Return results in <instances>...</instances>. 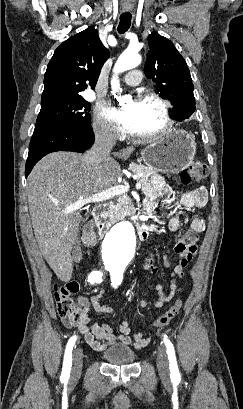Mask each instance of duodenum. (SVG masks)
I'll return each instance as SVG.
<instances>
[{"label": "duodenum", "mask_w": 243, "mask_h": 409, "mask_svg": "<svg viewBox=\"0 0 243 409\" xmlns=\"http://www.w3.org/2000/svg\"><path fill=\"white\" fill-rule=\"evenodd\" d=\"M108 205L106 203L97 204L92 210L93 223L97 228L100 238H103L114 221L107 215ZM137 232L141 240L148 237V227L144 222L137 223Z\"/></svg>", "instance_id": "1"}]
</instances>
